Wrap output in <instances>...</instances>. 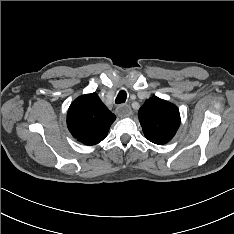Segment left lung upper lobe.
I'll use <instances>...</instances> for the list:
<instances>
[{
    "label": "left lung upper lobe",
    "mask_w": 234,
    "mask_h": 234,
    "mask_svg": "<svg viewBox=\"0 0 234 234\" xmlns=\"http://www.w3.org/2000/svg\"><path fill=\"white\" fill-rule=\"evenodd\" d=\"M139 120L145 137L162 145L176 134L180 125V114L174 104L153 96L139 109Z\"/></svg>",
    "instance_id": "obj_1"
}]
</instances>
